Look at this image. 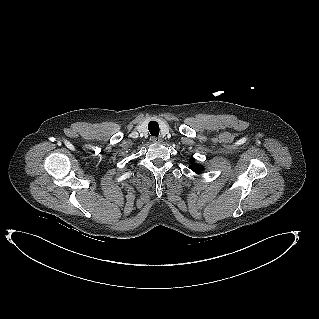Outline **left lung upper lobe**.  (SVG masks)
<instances>
[{"mask_svg": "<svg viewBox=\"0 0 319 319\" xmlns=\"http://www.w3.org/2000/svg\"><path fill=\"white\" fill-rule=\"evenodd\" d=\"M190 162L192 163L193 160L190 161ZM190 166H191V169H192L194 172H196V173H199V172L203 171V168H202V166H200V165L194 164V165H190Z\"/></svg>", "mask_w": 319, "mask_h": 319, "instance_id": "1", "label": "left lung upper lobe"}]
</instances>
